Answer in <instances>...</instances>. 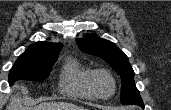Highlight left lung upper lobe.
<instances>
[{"label": "left lung upper lobe", "mask_w": 171, "mask_h": 110, "mask_svg": "<svg viewBox=\"0 0 171 110\" xmlns=\"http://www.w3.org/2000/svg\"><path fill=\"white\" fill-rule=\"evenodd\" d=\"M81 51L101 57L121 76V103L143 106L142 98L134 82V71L127 56L112 42L90 34L77 39Z\"/></svg>", "instance_id": "5c2ea615"}]
</instances>
